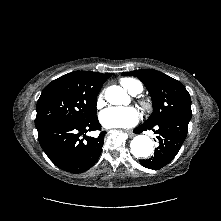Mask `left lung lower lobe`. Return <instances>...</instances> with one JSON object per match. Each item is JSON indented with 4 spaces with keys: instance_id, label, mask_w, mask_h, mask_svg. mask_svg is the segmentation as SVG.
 <instances>
[{
    "instance_id": "0a47b994",
    "label": "left lung lower lobe",
    "mask_w": 221,
    "mask_h": 221,
    "mask_svg": "<svg viewBox=\"0 0 221 221\" xmlns=\"http://www.w3.org/2000/svg\"><path fill=\"white\" fill-rule=\"evenodd\" d=\"M189 120L171 119L156 125L142 124L133 130L141 133L145 130H153L157 134L159 146L154 155L146 160H140V164L148 169H160L170 163L179 152L187 135ZM157 129V130H154Z\"/></svg>"
}]
</instances>
